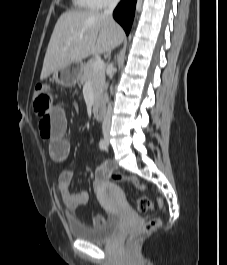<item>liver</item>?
<instances>
[{
    "label": "liver",
    "mask_w": 227,
    "mask_h": 265,
    "mask_svg": "<svg viewBox=\"0 0 227 265\" xmlns=\"http://www.w3.org/2000/svg\"><path fill=\"white\" fill-rule=\"evenodd\" d=\"M122 27L96 11L63 13L53 30L40 79L90 55L109 53L124 39Z\"/></svg>",
    "instance_id": "1"
}]
</instances>
